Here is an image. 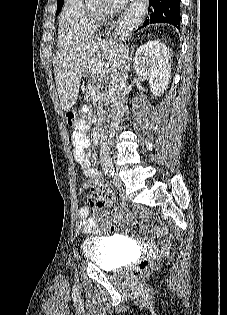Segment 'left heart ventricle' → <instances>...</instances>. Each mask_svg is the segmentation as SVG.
Instances as JSON below:
<instances>
[{
	"mask_svg": "<svg viewBox=\"0 0 227 315\" xmlns=\"http://www.w3.org/2000/svg\"><path fill=\"white\" fill-rule=\"evenodd\" d=\"M88 7L93 12H100V10H101V7L96 6V5H89Z\"/></svg>",
	"mask_w": 227,
	"mask_h": 315,
	"instance_id": "obj_1",
	"label": "left heart ventricle"
}]
</instances>
